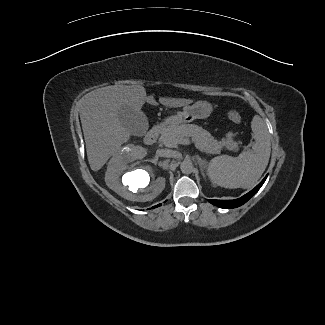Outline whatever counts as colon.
<instances>
[{
	"mask_svg": "<svg viewBox=\"0 0 325 325\" xmlns=\"http://www.w3.org/2000/svg\"><path fill=\"white\" fill-rule=\"evenodd\" d=\"M227 116H228V118H229L232 122H234V123H240V122H241V116H240V114H239L237 111H235V110H230V111H228Z\"/></svg>",
	"mask_w": 325,
	"mask_h": 325,
	"instance_id": "5ec220e1",
	"label": "colon"
}]
</instances>
